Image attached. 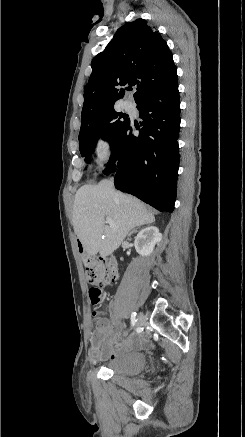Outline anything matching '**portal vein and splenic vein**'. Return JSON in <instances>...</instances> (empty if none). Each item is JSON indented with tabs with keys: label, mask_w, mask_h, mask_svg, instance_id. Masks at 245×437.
<instances>
[{
	"label": "portal vein and splenic vein",
	"mask_w": 245,
	"mask_h": 437,
	"mask_svg": "<svg viewBox=\"0 0 245 437\" xmlns=\"http://www.w3.org/2000/svg\"><path fill=\"white\" fill-rule=\"evenodd\" d=\"M106 222L112 227L115 226V223L113 222V220L110 217H106Z\"/></svg>",
	"instance_id": "obj_1"
}]
</instances>
